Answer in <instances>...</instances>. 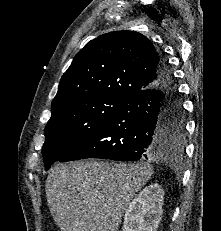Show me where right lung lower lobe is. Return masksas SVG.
<instances>
[{
    "label": "right lung lower lobe",
    "instance_id": "right-lung-lower-lobe-1",
    "mask_svg": "<svg viewBox=\"0 0 221 231\" xmlns=\"http://www.w3.org/2000/svg\"><path fill=\"white\" fill-rule=\"evenodd\" d=\"M158 74L156 84L126 99L95 133L59 161L85 158L137 161L173 147L163 135L166 109L171 104L179 105L180 100L163 56Z\"/></svg>",
    "mask_w": 221,
    "mask_h": 231
}]
</instances>
